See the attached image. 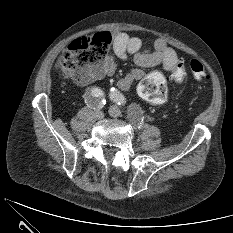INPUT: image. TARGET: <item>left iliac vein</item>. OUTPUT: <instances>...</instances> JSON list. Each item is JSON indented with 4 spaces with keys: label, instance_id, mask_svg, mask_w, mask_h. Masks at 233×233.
I'll use <instances>...</instances> for the list:
<instances>
[{
    "label": "left iliac vein",
    "instance_id": "1",
    "mask_svg": "<svg viewBox=\"0 0 233 233\" xmlns=\"http://www.w3.org/2000/svg\"><path fill=\"white\" fill-rule=\"evenodd\" d=\"M109 114L110 116L114 117V118H117V117H120L121 116V110L115 106V105H112L110 106L109 108ZM133 126H135V123H131Z\"/></svg>",
    "mask_w": 233,
    "mask_h": 233
}]
</instances>
